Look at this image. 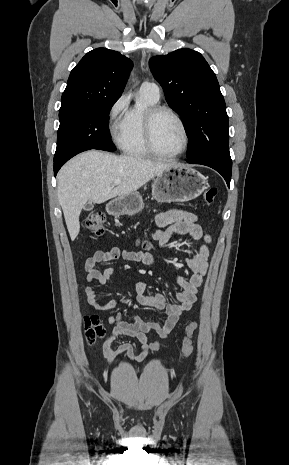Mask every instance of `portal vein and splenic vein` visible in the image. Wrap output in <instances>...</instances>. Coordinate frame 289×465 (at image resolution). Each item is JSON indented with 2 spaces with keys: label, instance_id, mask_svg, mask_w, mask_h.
Segmentation results:
<instances>
[{
  "label": "portal vein and splenic vein",
  "instance_id": "18ae733b",
  "mask_svg": "<svg viewBox=\"0 0 289 465\" xmlns=\"http://www.w3.org/2000/svg\"><path fill=\"white\" fill-rule=\"evenodd\" d=\"M120 183H121V180H115L114 183H113V185H114V186H115V185H119Z\"/></svg>",
  "mask_w": 289,
  "mask_h": 465
}]
</instances>
